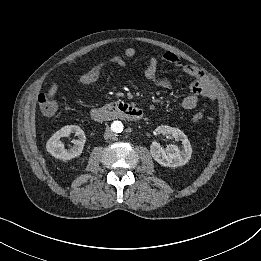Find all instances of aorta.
I'll return each mask as SVG.
<instances>
[{
	"instance_id": "aorta-1",
	"label": "aorta",
	"mask_w": 261,
	"mask_h": 261,
	"mask_svg": "<svg viewBox=\"0 0 261 261\" xmlns=\"http://www.w3.org/2000/svg\"><path fill=\"white\" fill-rule=\"evenodd\" d=\"M123 123L121 121H114L111 124V129L113 130V132L115 133H121L123 131Z\"/></svg>"
}]
</instances>
